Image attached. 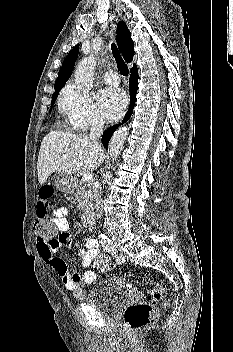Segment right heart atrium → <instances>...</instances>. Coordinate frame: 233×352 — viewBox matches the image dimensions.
Returning <instances> with one entry per match:
<instances>
[{
    "mask_svg": "<svg viewBox=\"0 0 233 352\" xmlns=\"http://www.w3.org/2000/svg\"><path fill=\"white\" fill-rule=\"evenodd\" d=\"M59 109L70 129L75 131H84L103 123L92 97L72 84L62 90Z\"/></svg>",
    "mask_w": 233,
    "mask_h": 352,
    "instance_id": "obj_1",
    "label": "right heart atrium"
}]
</instances>
